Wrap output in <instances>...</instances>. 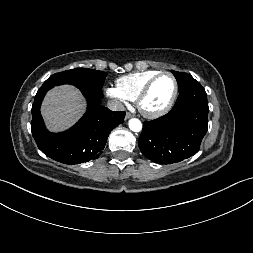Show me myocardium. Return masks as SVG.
Segmentation results:
<instances>
[{
  "instance_id": "f54148a6",
  "label": "myocardium",
  "mask_w": 253,
  "mask_h": 253,
  "mask_svg": "<svg viewBox=\"0 0 253 253\" xmlns=\"http://www.w3.org/2000/svg\"><path fill=\"white\" fill-rule=\"evenodd\" d=\"M170 76L173 80L174 83V89H173V93L169 99V101L167 102V104L159 109V110H155V111H150L147 110L144 105L143 102L145 100V98L147 97V95L150 92V89L152 88L153 84L162 76ZM178 91H179V85H178V81L177 78L175 77V75L169 71H161L159 73H157L155 76H153L145 85L144 87L141 89L140 93L138 94L137 98H136V106L139 110V112L145 116L146 118L149 119H156L159 117L164 116L165 114H167L172 107L175 104V101L177 99L178 96Z\"/></svg>"
}]
</instances>
